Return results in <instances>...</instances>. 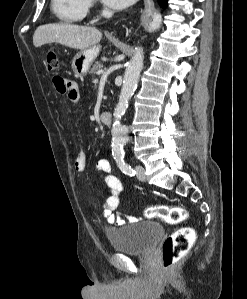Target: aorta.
<instances>
[{
  "instance_id": "762f6f07",
  "label": "aorta",
  "mask_w": 247,
  "mask_h": 299,
  "mask_svg": "<svg viewBox=\"0 0 247 299\" xmlns=\"http://www.w3.org/2000/svg\"><path fill=\"white\" fill-rule=\"evenodd\" d=\"M143 64V49L141 47L135 48L134 55L126 67L119 101L113 113V124L111 128V147L113 155H122L124 153V145L128 141V128L121 124V118L125 114L129 101L137 88Z\"/></svg>"
}]
</instances>
